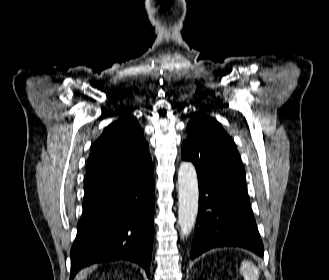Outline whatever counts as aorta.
Segmentation results:
<instances>
[{
  "label": "aorta",
  "instance_id": "obj_1",
  "mask_svg": "<svg viewBox=\"0 0 329 280\" xmlns=\"http://www.w3.org/2000/svg\"><path fill=\"white\" fill-rule=\"evenodd\" d=\"M178 198V224L181 237L184 238L191 233L198 213V179L191 162H183L179 167Z\"/></svg>",
  "mask_w": 329,
  "mask_h": 280
}]
</instances>
